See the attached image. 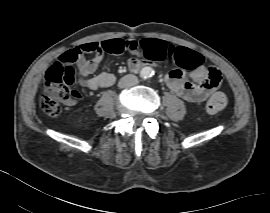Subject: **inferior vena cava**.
<instances>
[{
  "instance_id": "1",
  "label": "inferior vena cava",
  "mask_w": 270,
  "mask_h": 213,
  "mask_svg": "<svg viewBox=\"0 0 270 213\" xmlns=\"http://www.w3.org/2000/svg\"><path fill=\"white\" fill-rule=\"evenodd\" d=\"M138 82V78L135 75L128 74L120 79L119 86L121 88H127L136 85Z\"/></svg>"
}]
</instances>
